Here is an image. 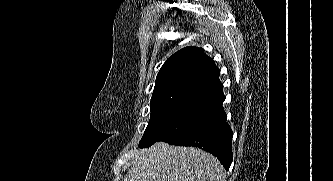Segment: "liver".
Returning a JSON list of instances; mask_svg holds the SVG:
<instances>
[{"instance_id": "6515ba94", "label": "liver", "mask_w": 333, "mask_h": 181, "mask_svg": "<svg viewBox=\"0 0 333 181\" xmlns=\"http://www.w3.org/2000/svg\"><path fill=\"white\" fill-rule=\"evenodd\" d=\"M224 175L212 154L158 142L136 155L122 181H224Z\"/></svg>"}]
</instances>
